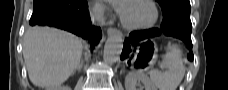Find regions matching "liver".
Instances as JSON below:
<instances>
[{
	"mask_svg": "<svg viewBox=\"0 0 228 90\" xmlns=\"http://www.w3.org/2000/svg\"><path fill=\"white\" fill-rule=\"evenodd\" d=\"M81 39L61 30L34 27L27 30L23 57L35 86L55 88L64 83L80 63Z\"/></svg>",
	"mask_w": 228,
	"mask_h": 90,
	"instance_id": "6515ba94",
	"label": "liver"
}]
</instances>
